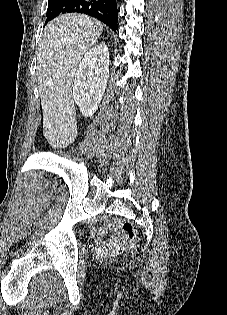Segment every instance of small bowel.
I'll return each instance as SVG.
<instances>
[{
    "label": "small bowel",
    "mask_w": 227,
    "mask_h": 315,
    "mask_svg": "<svg viewBox=\"0 0 227 315\" xmlns=\"http://www.w3.org/2000/svg\"><path fill=\"white\" fill-rule=\"evenodd\" d=\"M115 227H116L115 223L114 222H110V223L104 225L100 229V232H101V234L106 235V234H108L110 232V230L112 228H115ZM118 244H119L118 238L116 236H112L108 240H105V241L101 240V241H99L98 242V247L100 249H103V250H113V249H115L118 246Z\"/></svg>",
    "instance_id": "c3829d8e"
}]
</instances>
